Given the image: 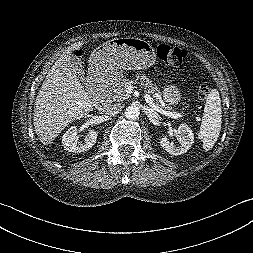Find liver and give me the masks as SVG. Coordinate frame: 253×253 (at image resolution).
Returning a JSON list of instances; mask_svg holds the SVG:
<instances>
[{
  "label": "liver",
  "instance_id": "1",
  "mask_svg": "<svg viewBox=\"0 0 253 253\" xmlns=\"http://www.w3.org/2000/svg\"><path fill=\"white\" fill-rule=\"evenodd\" d=\"M84 42L67 48L48 72L37 95L33 121L39 140L48 145L75 120L89 114L95 99L80 83L72 53Z\"/></svg>",
  "mask_w": 253,
  "mask_h": 253
}]
</instances>
